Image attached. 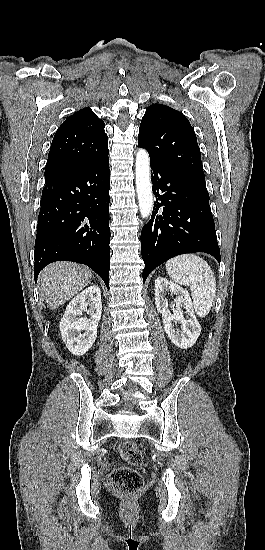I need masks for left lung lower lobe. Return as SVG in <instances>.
<instances>
[{
  "label": "left lung lower lobe",
  "instance_id": "obj_1",
  "mask_svg": "<svg viewBox=\"0 0 265 550\" xmlns=\"http://www.w3.org/2000/svg\"><path fill=\"white\" fill-rule=\"evenodd\" d=\"M150 164L156 202L141 232L143 283L153 269L180 254L205 252L220 263L207 189L157 160L150 158Z\"/></svg>",
  "mask_w": 265,
  "mask_h": 550
}]
</instances>
